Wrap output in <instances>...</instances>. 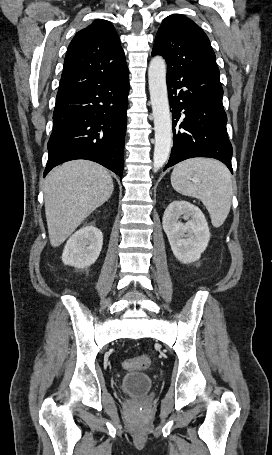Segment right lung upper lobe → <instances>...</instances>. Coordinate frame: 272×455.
<instances>
[{
    "mask_svg": "<svg viewBox=\"0 0 272 455\" xmlns=\"http://www.w3.org/2000/svg\"><path fill=\"white\" fill-rule=\"evenodd\" d=\"M128 74L114 26L95 20L72 39L64 60L57 98Z\"/></svg>",
    "mask_w": 272,
    "mask_h": 455,
    "instance_id": "right-lung-upper-lobe-1",
    "label": "right lung upper lobe"
}]
</instances>
